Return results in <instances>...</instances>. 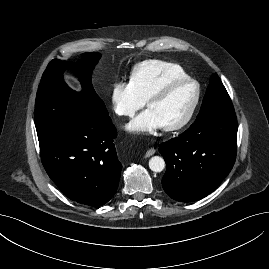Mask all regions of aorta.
I'll return each instance as SVG.
<instances>
[{"instance_id":"1","label":"aorta","mask_w":269,"mask_h":269,"mask_svg":"<svg viewBox=\"0 0 269 269\" xmlns=\"http://www.w3.org/2000/svg\"><path fill=\"white\" fill-rule=\"evenodd\" d=\"M149 168L153 172H162L165 168V161L160 156H154L149 160Z\"/></svg>"}]
</instances>
